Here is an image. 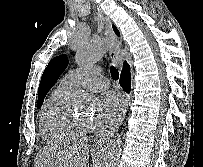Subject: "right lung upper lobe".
<instances>
[{"instance_id": "cb5924a9", "label": "right lung upper lobe", "mask_w": 203, "mask_h": 167, "mask_svg": "<svg viewBox=\"0 0 203 167\" xmlns=\"http://www.w3.org/2000/svg\"><path fill=\"white\" fill-rule=\"evenodd\" d=\"M113 29H114L115 33L119 36V35H120V34H119V31L116 29L115 26H113Z\"/></svg>"}]
</instances>
